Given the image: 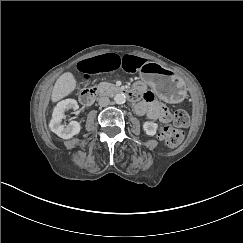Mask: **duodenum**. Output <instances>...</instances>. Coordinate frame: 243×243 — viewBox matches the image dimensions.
Segmentation results:
<instances>
[{
  "label": "duodenum",
  "mask_w": 243,
  "mask_h": 243,
  "mask_svg": "<svg viewBox=\"0 0 243 243\" xmlns=\"http://www.w3.org/2000/svg\"><path fill=\"white\" fill-rule=\"evenodd\" d=\"M118 92L124 93L131 102H137L140 99V94L133 89H118ZM96 98V91L94 88H86L80 94V101L84 106H90Z\"/></svg>",
  "instance_id": "410a0bca"
}]
</instances>
